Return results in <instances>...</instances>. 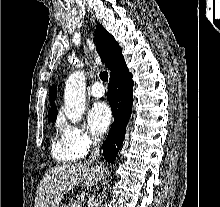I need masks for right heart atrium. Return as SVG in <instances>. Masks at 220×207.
<instances>
[{"mask_svg": "<svg viewBox=\"0 0 220 207\" xmlns=\"http://www.w3.org/2000/svg\"><path fill=\"white\" fill-rule=\"evenodd\" d=\"M61 130L68 141L84 154L94 148L99 139L90 134L85 128L73 126L66 122L61 123Z\"/></svg>", "mask_w": 220, "mask_h": 207, "instance_id": "1", "label": "right heart atrium"}]
</instances>
